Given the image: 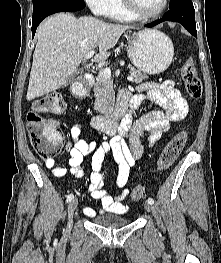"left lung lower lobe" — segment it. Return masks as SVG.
<instances>
[{"instance_id":"obj_1","label":"left lung lower lobe","mask_w":221,"mask_h":263,"mask_svg":"<svg viewBox=\"0 0 221 263\" xmlns=\"http://www.w3.org/2000/svg\"><path fill=\"white\" fill-rule=\"evenodd\" d=\"M166 20L181 23L186 30L197 37L195 10L191 0L174 6H170V10L166 12L162 19L147 24L146 27H153Z\"/></svg>"}]
</instances>
